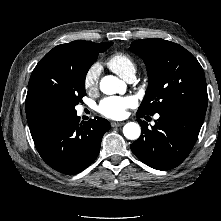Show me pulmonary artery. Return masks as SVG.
<instances>
[{"mask_svg":"<svg viewBox=\"0 0 221 221\" xmlns=\"http://www.w3.org/2000/svg\"><path fill=\"white\" fill-rule=\"evenodd\" d=\"M135 80V74H130L127 78L126 81L128 82H133ZM156 118H159V116L157 115Z\"/></svg>","mask_w":221,"mask_h":221,"instance_id":"obj_1","label":"pulmonary artery"}]
</instances>
